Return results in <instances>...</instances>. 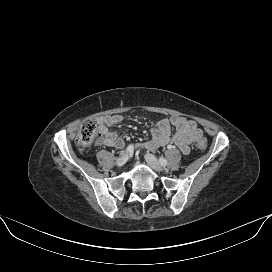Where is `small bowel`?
Listing matches in <instances>:
<instances>
[{
	"mask_svg": "<svg viewBox=\"0 0 272 272\" xmlns=\"http://www.w3.org/2000/svg\"><path fill=\"white\" fill-rule=\"evenodd\" d=\"M123 120L121 115H109L97 119L100 137L97 145H106L121 149L125 146V141L116 133L109 130V127L119 124ZM174 128V132H172ZM203 136L202 130L197 123L182 116L174 115L169 119L159 120L152 130L151 139L142 147L150 151L167 145H176L180 151L187 155L190 152V144L199 141Z\"/></svg>",
	"mask_w": 272,
	"mask_h": 272,
	"instance_id": "obj_1",
	"label": "small bowel"
}]
</instances>
